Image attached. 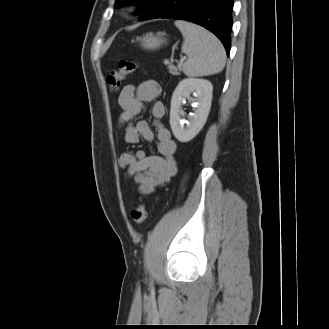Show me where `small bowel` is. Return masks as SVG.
<instances>
[{
	"instance_id": "obj_1",
	"label": "small bowel",
	"mask_w": 329,
	"mask_h": 329,
	"mask_svg": "<svg viewBox=\"0 0 329 329\" xmlns=\"http://www.w3.org/2000/svg\"><path fill=\"white\" fill-rule=\"evenodd\" d=\"M161 91L158 82L145 81L138 85L124 86L118 98L123 110L118 119V127L124 129L128 144L154 140L155 135L149 124L139 119L145 105H152L158 154H147L139 149L124 152L118 158L119 166L127 170L142 194H149L164 186L177 171V145L169 129L161 122L165 116V106L158 100Z\"/></svg>"
}]
</instances>
